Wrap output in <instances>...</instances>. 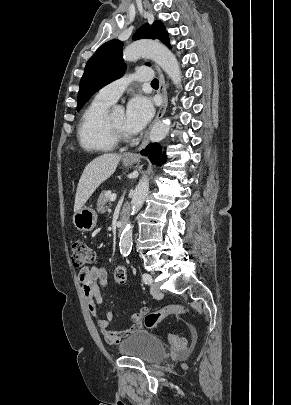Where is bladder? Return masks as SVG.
I'll list each match as a JSON object with an SVG mask.
<instances>
[{
    "instance_id": "obj_1",
    "label": "bladder",
    "mask_w": 291,
    "mask_h": 405,
    "mask_svg": "<svg viewBox=\"0 0 291 405\" xmlns=\"http://www.w3.org/2000/svg\"><path fill=\"white\" fill-rule=\"evenodd\" d=\"M119 352L134 357L145 363L154 364L162 361L167 355L164 342L147 330H138L119 344Z\"/></svg>"
}]
</instances>
